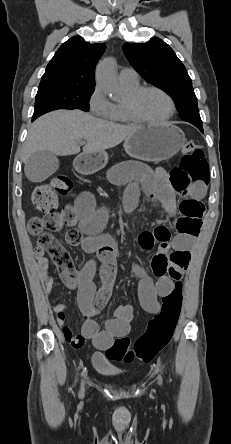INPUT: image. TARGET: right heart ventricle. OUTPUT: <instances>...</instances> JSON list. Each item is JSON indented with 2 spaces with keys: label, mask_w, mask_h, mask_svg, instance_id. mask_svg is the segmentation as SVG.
Masks as SVG:
<instances>
[{
  "label": "right heart ventricle",
  "mask_w": 231,
  "mask_h": 444,
  "mask_svg": "<svg viewBox=\"0 0 231 444\" xmlns=\"http://www.w3.org/2000/svg\"><path fill=\"white\" fill-rule=\"evenodd\" d=\"M127 91L130 93L139 87V82L136 83H126L122 82ZM111 121L120 122V123H130L132 120L129 118L124 102H117L113 104L112 113L108 118Z\"/></svg>",
  "instance_id": "right-heart-ventricle-1"
}]
</instances>
